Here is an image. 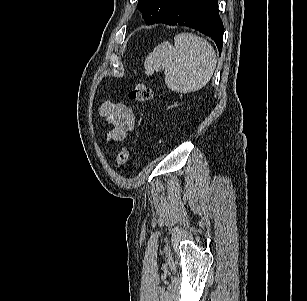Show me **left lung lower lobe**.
Segmentation results:
<instances>
[{"label":"left lung lower lobe","mask_w":307,"mask_h":301,"mask_svg":"<svg viewBox=\"0 0 307 301\" xmlns=\"http://www.w3.org/2000/svg\"><path fill=\"white\" fill-rule=\"evenodd\" d=\"M155 23L182 25L211 37L219 53L223 44V23L218 14V0H179Z\"/></svg>","instance_id":"obj_1"}]
</instances>
